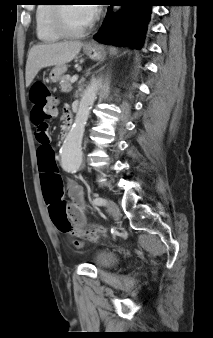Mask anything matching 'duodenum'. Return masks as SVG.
I'll return each mask as SVG.
<instances>
[{
	"label": "duodenum",
	"instance_id": "duodenum-1",
	"mask_svg": "<svg viewBox=\"0 0 213 338\" xmlns=\"http://www.w3.org/2000/svg\"><path fill=\"white\" fill-rule=\"evenodd\" d=\"M73 113L70 112L68 115H67V118H66V121L62 127V137L63 138H67L69 132L71 131L72 129V125H73Z\"/></svg>",
	"mask_w": 213,
	"mask_h": 338
}]
</instances>
